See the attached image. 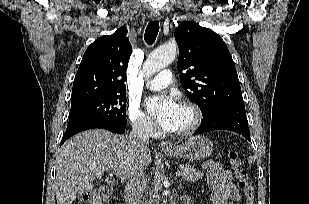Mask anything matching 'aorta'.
Wrapping results in <instances>:
<instances>
[{"mask_svg": "<svg viewBox=\"0 0 309 204\" xmlns=\"http://www.w3.org/2000/svg\"><path fill=\"white\" fill-rule=\"evenodd\" d=\"M177 54L176 44H164L154 50L145 60L142 73L144 77L149 78L174 61ZM165 204V203H163Z\"/></svg>", "mask_w": 309, "mask_h": 204, "instance_id": "762f6f07", "label": "aorta"}]
</instances>
